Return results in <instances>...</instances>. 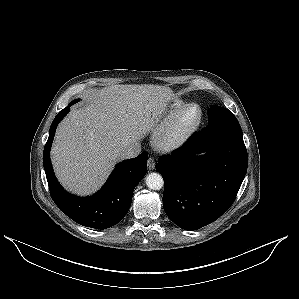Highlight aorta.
Masks as SVG:
<instances>
[{
    "instance_id": "aorta-1",
    "label": "aorta",
    "mask_w": 299,
    "mask_h": 299,
    "mask_svg": "<svg viewBox=\"0 0 299 299\" xmlns=\"http://www.w3.org/2000/svg\"><path fill=\"white\" fill-rule=\"evenodd\" d=\"M146 185L152 190H160L164 186L163 177L159 173H150L146 177Z\"/></svg>"
}]
</instances>
